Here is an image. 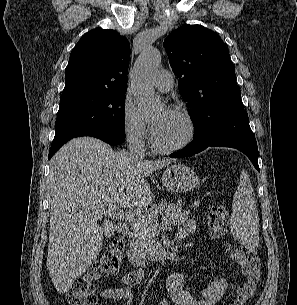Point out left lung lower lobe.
<instances>
[{
    "mask_svg": "<svg viewBox=\"0 0 297 305\" xmlns=\"http://www.w3.org/2000/svg\"><path fill=\"white\" fill-rule=\"evenodd\" d=\"M207 147H231L242 151L251 160L254 167L258 166V148L256 138L250 128L246 111H239L216 123L210 134L193 141L184 150L170 155L173 158L188 157L197 154Z\"/></svg>",
    "mask_w": 297,
    "mask_h": 305,
    "instance_id": "obj_1",
    "label": "left lung lower lobe"
}]
</instances>
